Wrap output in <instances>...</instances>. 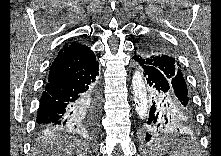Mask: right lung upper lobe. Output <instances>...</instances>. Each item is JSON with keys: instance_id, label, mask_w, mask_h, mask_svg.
<instances>
[{"instance_id": "cb5924a9", "label": "right lung upper lobe", "mask_w": 221, "mask_h": 156, "mask_svg": "<svg viewBox=\"0 0 221 156\" xmlns=\"http://www.w3.org/2000/svg\"><path fill=\"white\" fill-rule=\"evenodd\" d=\"M95 60V54L88 46L76 42L65 44L51 65L48 82L80 71Z\"/></svg>"}]
</instances>
